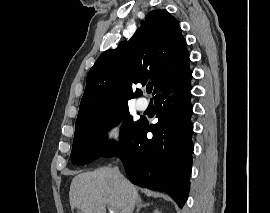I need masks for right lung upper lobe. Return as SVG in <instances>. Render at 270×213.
<instances>
[{"mask_svg":"<svg viewBox=\"0 0 270 213\" xmlns=\"http://www.w3.org/2000/svg\"><path fill=\"white\" fill-rule=\"evenodd\" d=\"M129 41L103 52L90 69L76 122L128 105L141 90L132 83L154 84L153 94L177 81L189 69V53L178 21L166 10H154Z\"/></svg>","mask_w":270,"mask_h":213,"instance_id":"obj_1","label":"right lung upper lobe"}]
</instances>
